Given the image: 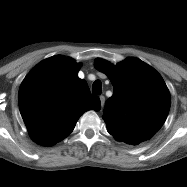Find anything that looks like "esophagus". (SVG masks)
<instances>
[{
  "label": "esophagus",
  "instance_id": "34e87169",
  "mask_svg": "<svg viewBox=\"0 0 187 187\" xmlns=\"http://www.w3.org/2000/svg\"><path fill=\"white\" fill-rule=\"evenodd\" d=\"M99 98H100L101 106L103 108V106L105 104V97L103 95H101Z\"/></svg>",
  "mask_w": 187,
  "mask_h": 187
}]
</instances>
